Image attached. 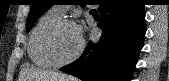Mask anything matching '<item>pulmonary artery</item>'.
I'll return each instance as SVG.
<instances>
[{
	"label": "pulmonary artery",
	"mask_w": 169,
	"mask_h": 81,
	"mask_svg": "<svg viewBox=\"0 0 169 81\" xmlns=\"http://www.w3.org/2000/svg\"><path fill=\"white\" fill-rule=\"evenodd\" d=\"M52 10L55 11L60 16H62L65 12L64 9L62 7H59V6L54 7Z\"/></svg>",
	"instance_id": "e3ab8cb5"
}]
</instances>
